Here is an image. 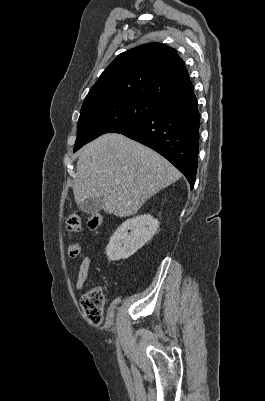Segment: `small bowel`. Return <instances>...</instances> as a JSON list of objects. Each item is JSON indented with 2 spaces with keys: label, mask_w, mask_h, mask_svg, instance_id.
<instances>
[{
  "label": "small bowel",
  "mask_w": 265,
  "mask_h": 401,
  "mask_svg": "<svg viewBox=\"0 0 265 401\" xmlns=\"http://www.w3.org/2000/svg\"><path fill=\"white\" fill-rule=\"evenodd\" d=\"M90 264L91 258L88 255L84 256L78 268L77 281L75 285L77 291H80L83 288L88 278Z\"/></svg>",
  "instance_id": "1"
}]
</instances>
